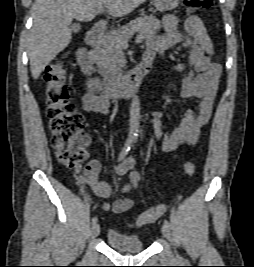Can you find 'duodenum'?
<instances>
[{"instance_id":"obj_1","label":"duodenum","mask_w":254,"mask_h":267,"mask_svg":"<svg viewBox=\"0 0 254 267\" xmlns=\"http://www.w3.org/2000/svg\"><path fill=\"white\" fill-rule=\"evenodd\" d=\"M105 23L98 22L86 35V43L90 47L100 45L103 39ZM78 65L86 76H92L96 69L89 59L88 51L81 48L77 51ZM152 59L144 57L142 62L133 70L128 72L122 79L109 72H104V82L99 86L98 91L107 98L117 99L130 95L136 86L151 72Z\"/></svg>"}]
</instances>
